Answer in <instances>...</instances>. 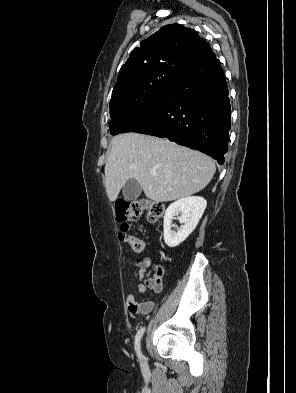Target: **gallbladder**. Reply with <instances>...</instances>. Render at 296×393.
<instances>
[{
	"label": "gallbladder",
	"instance_id": "obj_1",
	"mask_svg": "<svg viewBox=\"0 0 296 393\" xmlns=\"http://www.w3.org/2000/svg\"><path fill=\"white\" fill-rule=\"evenodd\" d=\"M141 191L140 184L135 179H129L123 187V197L127 201L136 200Z\"/></svg>",
	"mask_w": 296,
	"mask_h": 393
}]
</instances>
